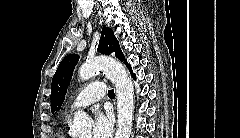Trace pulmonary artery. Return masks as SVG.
<instances>
[{"label": "pulmonary artery", "mask_w": 240, "mask_h": 138, "mask_svg": "<svg viewBox=\"0 0 240 138\" xmlns=\"http://www.w3.org/2000/svg\"><path fill=\"white\" fill-rule=\"evenodd\" d=\"M105 92L106 89L103 82L95 81L90 83L73 100L70 105V113L98 102L104 96Z\"/></svg>", "instance_id": "obj_1"}]
</instances>
